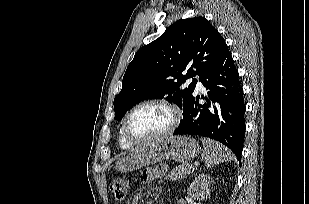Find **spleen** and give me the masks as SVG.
<instances>
[{
	"label": "spleen",
	"instance_id": "1",
	"mask_svg": "<svg viewBox=\"0 0 309 204\" xmlns=\"http://www.w3.org/2000/svg\"><path fill=\"white\" fill-rule=\"evenodd\" d=\"M201 141L205 150V164L208 168L233 160V154L224 145L207 138H201Z\"/></svg>",
	"mask_w": 309,
	"mask_h": 204
}]
</instances>
